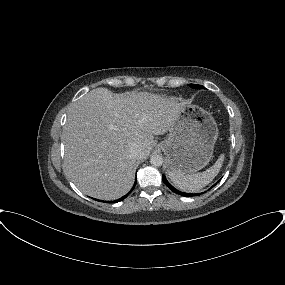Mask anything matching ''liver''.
Segmentation results:
<instances>
[{
    "instance_id": "6515ba94",
    "label": "liver",
    "mask_w": 285,
    "mask_h": 285,
    "mask_svg": "<svg viewBox=\"0 0 285 285\" xmlns=\"http://www.w3.org/2000/svg\"><path fill=\"white\" fill-rule=\"evenodd\" d=\"M186 102L148 92L114 94L96 88L69 109L64 126L63 168L86 195L115 200L131 189L134 167L154 146V135L165 134ZM141 148L140 157L130 147Z\"/></svg>"
}]
</instances>
